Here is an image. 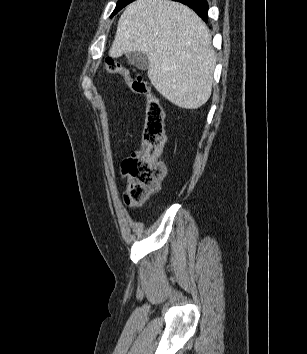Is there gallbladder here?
<instances>
[{
    "label": "gallbladder",
    "instance_id": "1",
    "mask_svg": "<svg viewBox=\"0 0 307 354\" xmlns=\"http://www.w3.org/2000/svg\"><path fill=\"white\" fill-rule=\"evenodd\" d=\"M128 62L140 70H147L149 67V60L146 54L142 52H130L126 55Z\"/></svg>",
    "mask_w": 307,
    "mask_h": 354
}]
</instances>
